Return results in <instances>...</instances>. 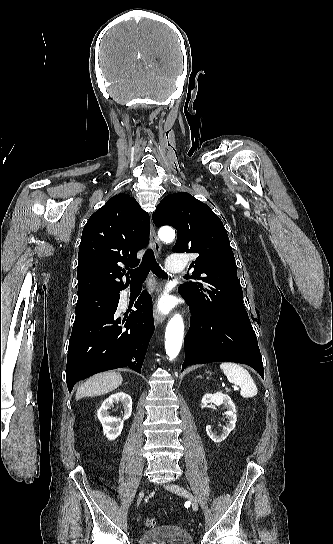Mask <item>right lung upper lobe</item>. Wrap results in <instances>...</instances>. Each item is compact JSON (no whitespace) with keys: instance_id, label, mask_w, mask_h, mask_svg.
<instances>
[{"instance_id":"1","label":"right lung upper lobe","mask_w":333,"mask_h":544,"mask_svg":"<svg viewBox=\"0 0 333 544\" xmlns=\"http://www.w3.org/2000/svg\"><path fill=\"white\" fill-rule=\"evenodd\" d=\"M149 232L148 213L128 194L113 196L93 213L79 246L78 300L125 289L123 272L139 264L136 254L147 245Z\"/></svg>"}]
</instances>
